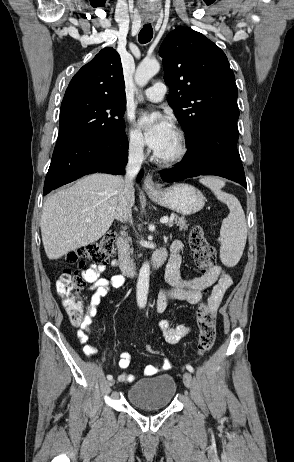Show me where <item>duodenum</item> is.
<instances>
[{"label": "duodenum", "mask_w": 294, "mask_h": 462, "mask_svg": "<svg viewBox=\"0 0 294 462\" xmlns=\"http://www.w3.org/2000/svg\"><path fill=\"white\" fill-rule=\"evenodd\" d=\"M117 248L119 254L118 266L126 276H133L135 273V266L129 255V249L127 245L126 232L121 231L120 236L117 239ZM166 250L164 248L157 249L152 257V267L154 269L162 266L166 260Z\"/></svg>", "instance_id": "obj_1"}]
</instances>
